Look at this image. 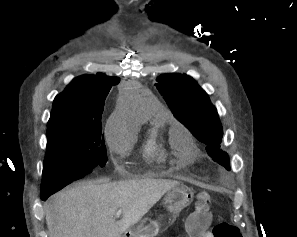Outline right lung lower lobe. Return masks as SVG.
<instances>
[{"instance_id":"1","label":"right lung lower lobe","mask_w":297,"mask_h":237,"mask_svg":"<svg viewBox=\"0 0 297 237\" xmlns=\"http://www.w3.org/2000/svg\"><path fill=\"white\" fill-rule=\"evenodd\" d=\"M72 182H73V180H72ZM51 194H53L52 192H50V193H42L41 192V199L42 200H46L47 198H48V196H50Z\"/></svg>"}]
</instances>
